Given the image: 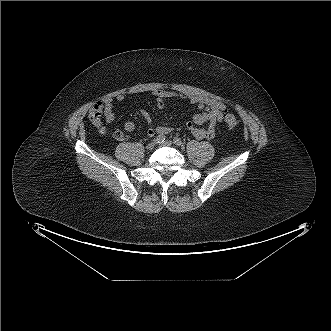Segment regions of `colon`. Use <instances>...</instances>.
<instances>
[{
    "mask_svg": "<svg viewBox=\"0 0 331 331\" xmlns=\"http://www.w3.org/2000/svg\"><path fill=\"white\" fill-rule=\"evenodd\" d=\"M223 117H224V122L229 129H234L237 127L238 119L229 110L227 109L223 110ZM101 131L102 132L105 131L103 127H101Z\"/></svg>",
    "mask_w": 331,
    "mask_h": 331,
    "instance_id": "5ec220e1",
    "label": "colon"
}]
</instances>
